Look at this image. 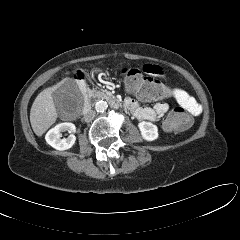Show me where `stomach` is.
Listing matches in <instances>:
<instances>
[{"instance_id":"1","label":"stomach","mask_w":240,"mask_h":240,"mask_svg":"<svg viewBox=\"0 0 240 240\" xmlns=\"http://www.w3.org/2000/svg\"><path fill=\"white\" fill-rule=\"evenodd\" d=\"M94 71L98 72V71H99V69H96V70H94Z\"/></svg>"}]
</instances>
